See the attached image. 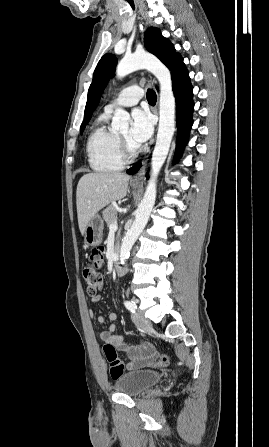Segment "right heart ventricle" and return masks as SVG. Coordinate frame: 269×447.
Returning <instances> with one entry per match:
<instances>
[{"label":"right heart ventricle","mask_w":269,"mask_h":447,"mask_svg":"<svg viewBox=\"0 0 269 447\" xmlns=\"http://www.w3.org/2000/svg\"><path fill=\"white\" fill-rule=\"evenodd\" d=\"M110 112L106 110L97 118L96 127L88 141L90 167L98 172L121 169L122 160L118 135L108 125Z\"/></svg>","instance_id":"obj_1"}]
</instances>
